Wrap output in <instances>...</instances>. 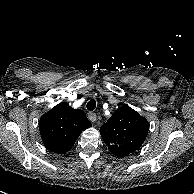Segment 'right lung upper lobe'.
Returning a JSON list of instances; mask_svg holds the SVG:
<instances>
[{"label": "right lung upper lobe", "instance_id": "obj_1", "mask_svg": "<svg viewBox=\"0 0 194 194\" xmlns=\"http://www.w3.org/2000/svg\"><path fill=\"white\" fill-rule=\"evenodd\" d=\"M91 126L82 110L73 109L66 102L53 107L39 121L45 147L58 154L71 150L81 132Z\"/></svg>", "mask_w": 194, "mask_h": 194}]
</instances>
